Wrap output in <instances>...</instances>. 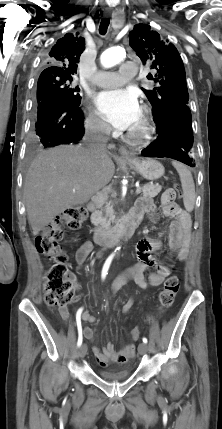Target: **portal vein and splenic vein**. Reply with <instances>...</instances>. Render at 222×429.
Wrapping results in <instances>:
<instances>
[{"label":"portal vein and splenic vein","instance_id":"obj_1","mask_svg":"<svg viewBox=\"0 0 222 429\" xmlns=\"http://www.w3.org/2000/svg\"><path fill=\"white\" fill-rule=\"evenodd\" d=\"M141 193V187H138L137 189H136V195H138V194H140Z\"/></svg>","mask_w":222,"mask_h":429}]
</instances>
